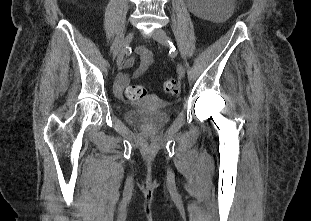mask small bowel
<instances>
[{
    "label": "small bowel",
    "mask_w": 311,
    "mask_h": 221,
    "mask_svg": "<svg viewBox=\"0 0 311 221\" xmlns=\"http://www.w3.org/2000/svg\"><path fill=\"white\" fill-rule=\"evenodd\" d=\"M139 58V67L134 73V77H140L153 63V55L146 47H139L136 50Z\"/></svg>",
    "instance_id": "1"
}]
</instances>
